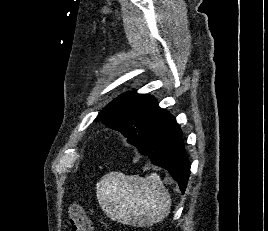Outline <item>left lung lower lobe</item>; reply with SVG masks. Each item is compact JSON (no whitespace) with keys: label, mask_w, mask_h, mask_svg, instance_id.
<instances>
[{"label":"left lung lower lobe","mask_w":268,"mask_h":231,"mask_svg":"<svg viewBox=\"0 0 268 231\" xmlns=\"http://www.w3.org/2000/svg\"><path fill=\"white\" fill-rule=\"evenodd\" d=\"M134 146L140 154L148 156L153 164L168 170L184 193L190 174V163L181 129L172 115L147 139L135 143Z\"/></svg>","instance_id":"left-lung-lower-lobe-1"}]
</instances>
